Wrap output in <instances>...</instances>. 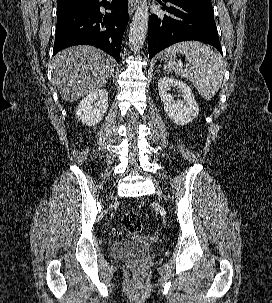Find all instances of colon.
<instances>
[{"mask_svg": "<svg viewBox=\"0 0 272 303\" xmlns=\"http://www.w3.org/2000/svg\"><path fill=\"white\" fill-rule=\"evenodd\" d=\"M122 227L130 233H138L142 229V220L138 213L134 211H127L123 214L121 219Z\"/></svg>", "mask_w": 272, "mask_h": 303, "instance_id": "obj_1", "label": "colon"}]
</instances>
